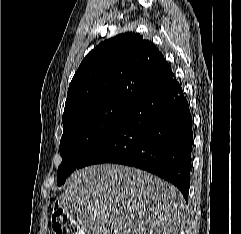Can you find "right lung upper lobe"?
<instances>
[{"instance_id": "1", "label": "right lung upper lobe", "mask_w": 241, "mask_h": 234, "mask_svg": "<svg viewBox=\"0 0 241 234\" xmlns=\"http://www.w3.org/2000/svg\"><path fill=\"white\" fill-rule=\"evenodd\" d=\"M170 74L151 41L134 32L117 35L100 43L80 64L69 85L63 117L103 102L134 104Z\"/></svg>"}]
</instances>
